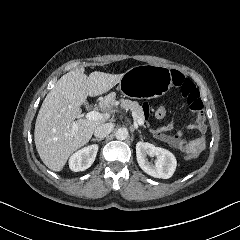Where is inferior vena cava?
<instances>
[{
  "label": "inferior vena cava",
  "mask_w": 240,
  "mask_h": 240,
  "mask_svg": "<svg viewBox=\"0 0 240 240\" xmlns=\"http://www.w3.org/2000/svg\"><path fill=\"white\" fill-rule=\"evenodd\" d=\"M114 123H104L100 124L94 131V134L97 138L103 139L109 135L114 129Z\"/></svg>",
  "instance_id": "602c4592"
}]
</instances>
